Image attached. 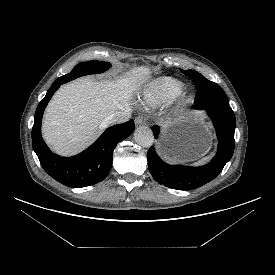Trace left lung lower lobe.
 <instances>
[{
	"mask_svg": "<svg viewBox=\"0 0 275 275\" xmlns=\"http://www.w3.org/2000/svg\"><path fill=\"white\" fill-rule=\"evenodd\" d=\"M195 103L198 110H206L216 128L218 151L210 163L201 167L169 165L163 162L152 146L148 150V168L152 177L161 185L177 190H190L213 180L222 171L234 152L235 115L230 106H218L207 102ZM155 136L158 127L153 126Z\"/></svg>",
	"mask_w": 275,
	"mask_h": 275,
	"instance_id": "obj_1",
	"label": "left lung lower lobe"
}]
</instances>
